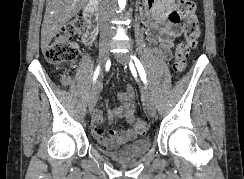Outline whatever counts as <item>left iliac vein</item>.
Returning <instances> with one entry per match:
<instances>
[{
	"mask_svg": "<svg viewBox=\"0 0 244 179\" xmlns=\"http://www.w3.org/2000/svg\"><path fill=\"white\" fill-rule=\"evenodd\" d=\"M116 59L119 63H121L122 65H128L130 62L129 59V55L127 53H121V54H116ZM144 93H145V108L149 114L150 117H154L156 114V104L154 101V98L150 92V90H148V88H144Z\"/></svg>",
	"mask_w": 244,
	"mask_h": 179,
	"instance_id": "obj_1",
	"label": "left iliac vein"
}]
</instances>
